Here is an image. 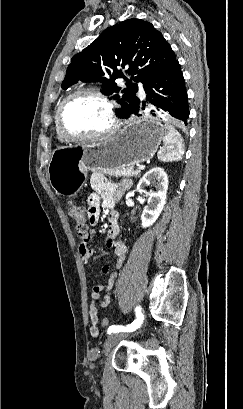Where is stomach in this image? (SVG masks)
I'll use <instances>...</instances> for the list:
<instances>
[{
	"label": "stomach",
	"mask_w": 243,
	"mask_h": 409,
	"mask_svg": "<svg viewBox=\"0 0 243 409\" xmlns=\"http://www.w3.org/2000/svg\"><path fill=\"white\" fill-rule=\"evenodd\" d=\"M164 133L158 119L133 117L101 142L58 147L48 164L49 182L58 195L76 194L89 171L118 170L151 159Z\"/></svg>",
	"instance_id": "1"
}]
</instances>
